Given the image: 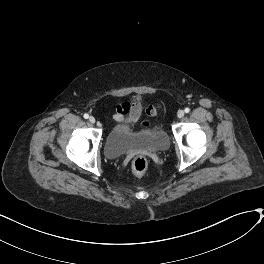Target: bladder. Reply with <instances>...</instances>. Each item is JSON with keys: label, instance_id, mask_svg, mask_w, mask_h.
I'll use <instances>...</instances> for the list:
<instances>
[{"label": "bladder", "instance_id": "obj_1", "mask_svg": "<svg viewBox=\"0 0 264 264\" xmlns=\"http://www.w3.org/2000/svg\"><path fill=\"white\" fill-rule=\"evenodd\" d=\"M169 147L167 132L158 125L149 124L140 130L118 124L107 135L104 144L105 156L114 160L134 151L164 152Z\"/></svg>", "mask_w": 264, "mask_h": 264}]
</instances>
